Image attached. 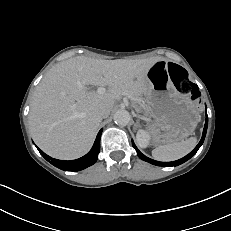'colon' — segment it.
<instances>
[{"mask_svg":"<svg viewBox=\"0 0 231 231\" xmlns=\"http://www.w3.org/2000/svg\"><path fill=\"white\" fill-rule=\"evenodd\" d=\"M171 80L179 93L195 97L197 95L196 89L192 81L189 79L187 72L181 66L170 63L167 66Z\"/></svg>","mask_w":231,"mask_h":231,"instance_id":"colon-1","label":"colon"}]
</instances>
